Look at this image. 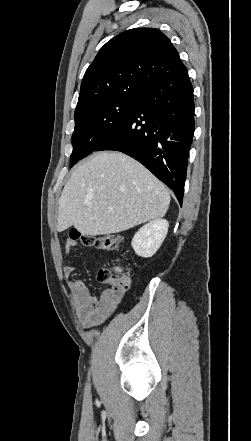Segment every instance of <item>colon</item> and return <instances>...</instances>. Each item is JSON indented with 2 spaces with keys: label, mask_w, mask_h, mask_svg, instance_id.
I'll return each mask as SVG.
<instances>
[{
  "label": "colon",
  "mask_w": 251,
  "mask_h": 441,
  "mask_svg": "<svg viewBox=\"0 0 251 441\" xmlns=\"http://www.w3.org/2000/svg\"><path fill=\"white\" fill-rule=\"evenodd\" d=\"M69 240H81L86 246H94L107 251L118 250L123 244V238L117 234L83 235L75 229L70 232ZM99 279L111 285L115 290L125 292L131 284L132 275L130 269L115 265L101 269L99 271Z\"/></svg>",
  "instance_id": "obj_1"
}]
</instances>
